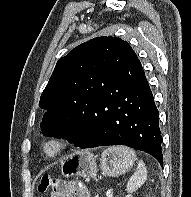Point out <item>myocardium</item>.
Instances as JSON below:
<instances>
[{
  "instance_id": "1",
  "label": "myocardium",
  "mask_w": 191,
  "mask_h": 197,
  "mask_svg": "<svg viewBox=\"0 0 191 197\" xmlns=\"http://www.w3.org/2000/svg\"><path fill=\"white\" fill-rule=\"evenodd\" d=\"M70 142L63 134H51L40 143V153L46 160H55L60 157L69 147Z\"/></svg>"
}]
</instances>
